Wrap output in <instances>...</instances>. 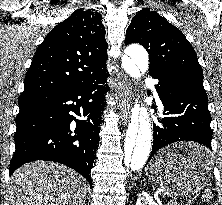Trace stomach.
I'll return each mask as SVG.
<instances>
[{
  "instance_id": "obj_1",
  "label": "stomach",
  "mask_w": 222,
  "mask_h": 205,
  "mask_svg": "<svg viewBox=\"0 0 222 205\" xmlns=\"http://www.w3.org/2000/svg\"><path fill=\"white\" fill-rule=\"evenodd\" d=\"M204 147L184 142L166 147L150 161L146 174L159 189L178 195H191L202 190L210 179V164H181L178 160L189 151H203Z\"/></svg>"
}]
</instances>
